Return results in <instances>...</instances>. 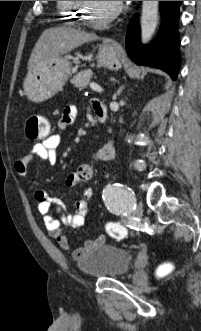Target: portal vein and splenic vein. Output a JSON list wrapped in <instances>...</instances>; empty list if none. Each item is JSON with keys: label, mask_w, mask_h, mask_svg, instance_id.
<instances>
[{"label": "portal vein and splenic vein", "mask_w": 201, "mask_h": 331, "mask_svg": "<svg viewBox=\"0 0 201 331\" xmlns=\"http://www.w3.org/2000/svg\"><path fill=\"white\" fill-rule=\"evenodd\" d=\"M90 88L96 92H102L103 89L102 87H100L99 85H97L96 83H90Z\"/></svg>", "instance_id": "1"}]
</instances>
